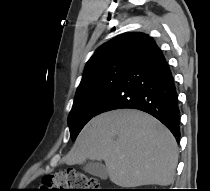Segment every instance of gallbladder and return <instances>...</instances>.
Instances as JSON below:
<instances>
[{"label": "gallbladder", "instance_id": "gallbladder-1", "mask_svg": "<svg viewBox=\"0 0 210 191\" xmlns=\"http://www.w3.org/2000/svg\"><path fill=\"white\" fill-rule=\"evenodd\" d=\"M83 169L91 175L102 179H106L108 176V172L101 162L90 161L84 165Z\"/></svg>", "mask_w": 210, "mask_h": 191}]
</instances>
